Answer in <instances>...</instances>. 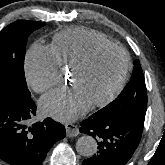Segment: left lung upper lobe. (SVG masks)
I'll return each instance as SVG.
<instances>
[{
  "instance_id": "1",
  "label": "left lung upper lobe",
  "mask_w": 165,
  "mask_h": 165,
  "mask_svg": "<svg viewBox=\"0 0 165 165\" xmlns=\"http://www.w3.org/2000/svg\"><path fill=\"white\" fill-rule=\"evenodd\" d=\"M147 108V90L140 62H134L131 80L120 95L107 106L93 114L101 119L122 121L145 120Z\"/></svg>"
}]
</instances>
